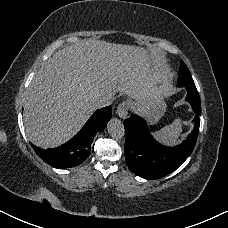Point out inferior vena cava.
Instances as JSON below:
<instances>
[{"instance_id":"inferior-vena-cava-1","label":"inferior vena cava","mask_w":228,"mask_h":228,"mask_svg":"<svg viewBox=\"0 0 228 228\" xmlns=\"http://www.w3.org/2000/svg\"><path fill=\"white\" fill-rule=\"evenodd\" d=\"M89 97L91 98V103H92V107L94 110L101 109L103 107H107V106L111 105L114 100V97L112 94L95 96L90 93Z\"/></svg>"}]
</instances>
